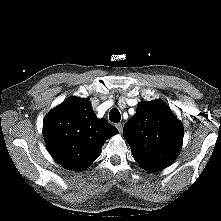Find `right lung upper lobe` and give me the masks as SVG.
<instances>
[{
  "instance_id": "obj_1",
  "label": "right lung upper lobe",
  "mask_w": 221,
  "mask_h": 221,
  "mask_svg": "<svg viewBox=\"0 0 221 221\" xmlns=\"http://www.w3.org/2000/svg\"><path fill=\"white\" fill-rule=\"evenodd\" d=\"M118 133L105 119H97L88 99L71 97L55 107L43 122L49 153L69 170L81 171L99 156L104 142Z\"/></svg>"
}]
</instances>
